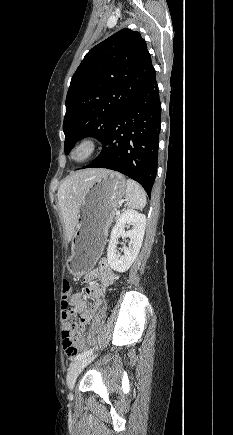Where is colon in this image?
I'll list each match as a JSON object with an SVG mask.
<instances>
[{
    "label": "colon",
    "instance_id": "5ec220e1",
    "mask_svg": "<svg viewBox=\"0 0 233 435\" xmlns=\"http://www.w3.org/2000/svg\"><path fill=\"white\" fill-rule=\"evenodd\" d=\"M72 292L71 283L64 279L61 286L62 308L70 312V295ZM63 348L68 358L74 357L78 353L77 345L74 342L73 335L69 329H64L62 332Z\"/></svg>",
    "mask_w": 233,
    "mask_h": 435
}]
</instances>
